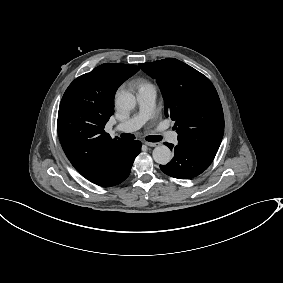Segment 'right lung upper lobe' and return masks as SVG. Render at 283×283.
Returning a JSON list of instances; mask_svg holds the SVG:
<instances>
[{"label": "right lung upper lobe", "instance_id": "right-lung-upper-lobe-1", "mask_svg": "<svg viewBox=\"0 0 283 283\" xmlns=\"http://www.w3.org/2000/svg\"><path fill=\"white\" fill-rule=\"evenodd\" d=\"M139 70L136 65L105 63L76 78L65 91L58 112V135L74 168L86 179L114 164L129 141L104 131L114 113L118 87Z\"/></svg>", "mask_w": 283, "mask_h": 283}]
</instances>
